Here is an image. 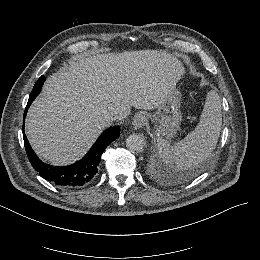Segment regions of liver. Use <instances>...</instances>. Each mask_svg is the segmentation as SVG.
<instances>
[{"label":"liver","instance_id":"1","mask_svg":"<svg viewBox=\"0 0 260 260\" xmlns=\"http://www.w3.org/2000/svg\"><path fill=\"white\" fill-rule=\"evenodd\" d=\"M184 74L178 60L161 51L75 57L70 69L47 79L29 109L28 140L41 158L71 163L110 123L104 120L109 111L119 120L131 107L154 111Z\"/></svg>","mask_w":260,"mask_h":260}]
</instances>
